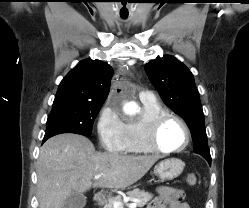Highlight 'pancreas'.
Wrapping results in <instances>:
<instances>
[{
  "instance_id": "cf45deb5",
  "label": "pancreas",
  "mask_w": 249,
  "mask_h": 208,
  "mask_svg": "<svg viewBox=\"0 0 249 208\" xmlns=\"http://www.w3.org/2000/svg\"><path fill=\"white\" fill-rule=\"evenodd\" d=\"M127 196L130 198L137 199L138 201L136 202V204L140 208L144 207L148 203V201H150L153 198L152 194L145 192L143 190L141 191L139 189H134L133 191L127 192ZM115 201L122 202V197L116 196L108 199L103 208H114L113 203Z\"/></svg>"
}]
</instances>
